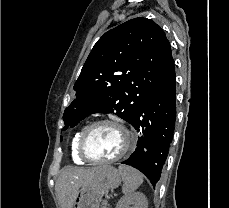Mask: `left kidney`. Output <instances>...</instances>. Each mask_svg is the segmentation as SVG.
Instances as JSON below:
<instances>
[{"mask_svg": "<svg viewBox=\"0 0 229 208\" xmlns=\"http://www.w3.org/2000/svg\"><path fill=\"white\" fill-rule=\"evenodd\" d=\"M148 208V202L144 194L140 192H134V194H126L117 204V208Z\"/></svg>", "mask_w": 229, "mask_h": 208, "instance_id": "5707ae66", "label": "left kidney"}]
</instances>
